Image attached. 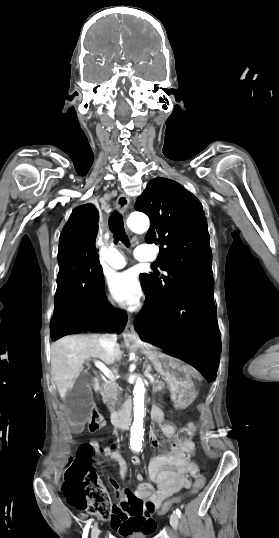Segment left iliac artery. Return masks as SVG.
<instances>
[{
	"mask_svg": "<svg viewBox=\"0 0 279 538\" xmlns=\"http://www.w3.org/2000/svg\"><path fill=\"white\" fill-rule=\"evenodd\" d=\"M176 514L178 515V517H181V511L179 509H176Z\"/></svg>",
	"mask_w": 279,
	"mask_h": 538,
	"instance_id": "1",
	"label": "left iliac artery"
}]
</instances>
